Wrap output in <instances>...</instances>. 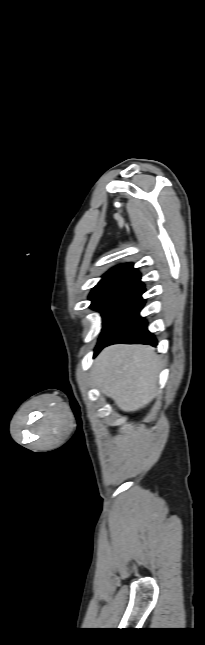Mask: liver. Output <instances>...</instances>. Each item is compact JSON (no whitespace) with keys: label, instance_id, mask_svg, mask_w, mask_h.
Masks as SVG:
<instances>
[{"label":"liver","instance_id":"1","mask_svg":"<svg viewBox=\"0 0 205 645\" xmlns=\"http://www.w3.org/2000/svg\"><path fill=\"white\" fill-rule=\"evenodd\" d=\"M160 367L152 347L118 344L98 355L91 379L122 411L134 412L155 397Z\"/></svg>","mask_w":205,"mask_h":645}]
</instances>
